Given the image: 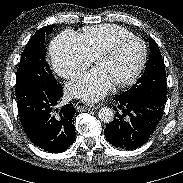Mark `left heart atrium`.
Masks as SVG:
<instances>
[{
    "instance_id": "1",
    "label": "left heart atrium",
    "mask_w": 183,
    "mask_h": 183,
    "mask_svg": "<svg viewBox=\"0 0 183 183\" xmlns=\"http://www.w3.org/2000/svg\"><path fill=\"white\" fill-rule=\"evenodd\" d=\"M111 85L104 72L96 67L80 79L70 83L67 91L72 97L94 102L104 97Z\"/></svg>"
}]
</instances>
